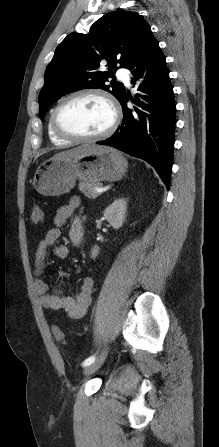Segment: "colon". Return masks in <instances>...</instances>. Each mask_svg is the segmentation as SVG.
<instances>
[{
    "label": "colon",
    "instance_id": "colon-1",
    "mask_svg": "<svg viewBox=\"0 0 219 447\" xmlns=\"http://www.w3.org/2000/svg\"><path fill=\"white\" fill-rule=\"evenodd\" d=\"M43 220V212L42 209L39 205H34L32 207V212H31V221L34 224H39L41 223ZM53 332V336L54 338L59 342V343H64V334L62 332V330L58 327V326H54L52 329Z\"/></svg>",
    "mask_w": 219,
    "mask_h": 447
}]
</instances>
